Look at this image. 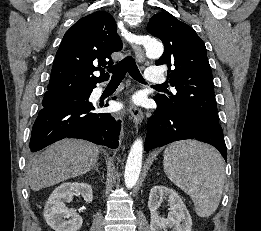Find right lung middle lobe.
<instances>
[{
	"label": "right lung middle lobe",
	"instance_id": "obj_1",
	"mask_svg": "<svg viewBox=\"0 0 261 231\" xmlns=\"http://www.w3.org/2000/svg\"><path fill=\"white\" fill-rule=\"evenodd\" d=\"M89 91L74 92V93H54L45 94L42 101V108H48L66 102H71L79 99H86Z\"/></svg>",
	"mask_w": 261,
	"mask_h": 231
}]
</instances>
